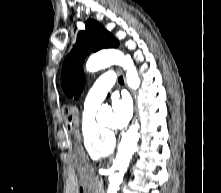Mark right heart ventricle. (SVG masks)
Masks as SVG:
<instances>
[{"instance_id": "obj_1", "label": "right heart ventricle", "mask_w": 221, "mask_h": 193, "mask_svg": "<svg viewBox=\"0 0 221 193\" xmlns=\"http://www.w3.org/2000/svg\"><path fill=\"white\" fill-rule=\"evenodd\" d=\"M95 110L84 109L80 123L82 144L92 159L111 154L115 146L113 138L95 120Z\"/></svg>"}]
</instances>
